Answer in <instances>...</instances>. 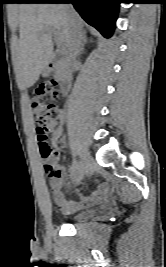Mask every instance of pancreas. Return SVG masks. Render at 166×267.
<instances>
[{"label": "pancreas", "instance_id": "obj_1", "mask_svg": "<svg viewBox=\"0 0 166 267\" xmlns=\"http://www.w3.org/2000/svg\"><path fill=\"white\" fill-rule=\"evenodd\" d=\"M68 69V63L64 60H61L59 62L57 71H56V75L60 76L63 72H65Z\"/></svg>", "mask_w": 166, "mask_h": 267}]
</instances>
